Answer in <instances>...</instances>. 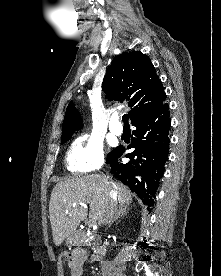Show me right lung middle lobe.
I'll return each instance as SVG.
<instances>
[{
  "instance_id": "right-lung-middle-lobe-1",
  "label": "right lung middle lobe",
  "mask_w": 221,
  "mask_h": 276,
  "mask_svg": "<svg viewBox=\"0 0 221 276\" xmlns=\"http://www.w3.org/2000/svg\"><path fill=\"white\" fill-rule=\"evenodd\" d=\"M68 140H64V141H61L62 142V144L63 143H65V142H67ZM113 152H114V150H112L110 153H109V155L107 156V160L112 156V154H113ZM106 160V161H107Z\"/></svg>"
}]
</instances>
